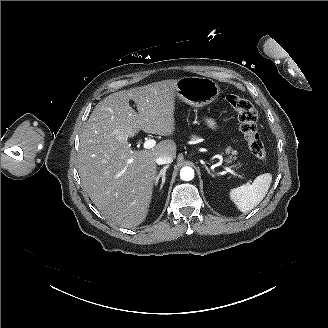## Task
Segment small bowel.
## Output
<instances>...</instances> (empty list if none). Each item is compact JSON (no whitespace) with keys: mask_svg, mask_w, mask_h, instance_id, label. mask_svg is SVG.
<instances>
[{"mask_svg":"<svg viewBox=\"0 0 328 328\" xmlns=\"http://www.w3.org/2000/svg\"><path fill=\"white\" fill-rule=\"evenodd\" d=\"M208 124H209L210 126H213V125H214V122H213L212 120H208Z\"/></svg>","mask_w":328,"mask_h":328,"instance_id":"small-bowel-1","label":"small bowel"}]
</instances>
